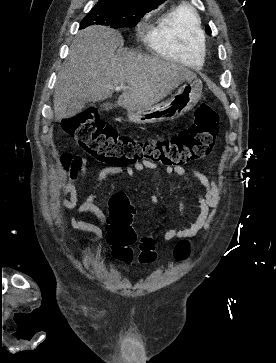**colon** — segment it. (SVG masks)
<instances>
[{
	"mask_svg": "<svg viewBox=\"0 0 276 363\" xmlns=\"http://www.w3.org/2000/svg\"><path fill=\"white\" fill-rule=\"evenodd\" d=\"M62 128L84 151L100 161L118 166L150 161L176 167L210 153L219 131V116L210 105L203 103L195 110L194 121L188 128L170 136L142 141L118 134L94 109L66 118ZM131 221L127 212L116 209L112 210L108 220L107 238L113 246V255L124 263L132 262V246L137 241ZM189 254V241L178 242L174 249L175 259L183 261ZM137 258L140 263L155 260V241L152 236L141 237Z\"/></svg>",
	"mask_w": 276,
	"mask_h": 363,
	"instance_id": "colon-1",
	"label": "colon"
}]
</instances>
